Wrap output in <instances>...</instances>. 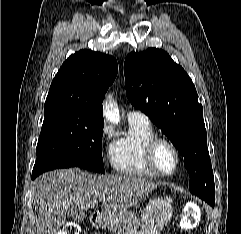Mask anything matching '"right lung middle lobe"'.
<instances>
[{
    "label": "right lung middle lobe",
    "instance_id": "obj_1",
    "mask_svg": "<svg viewBox=\"0 0 241 234\" xmlns=\"http://www.w3.org/2000/svg\"><path fill=\"white\" fill-rule=\"evenodd\" d=\"M44 114L33 171H47L54 164L66 163L105 173L101 152L104 122L85 120L65 108L45 109Z\"/></svg>",
    "mask_w": 241,
    "mask_h": 234
}]
</instances>
